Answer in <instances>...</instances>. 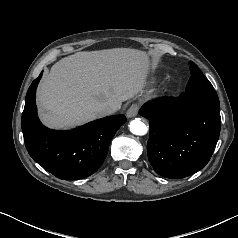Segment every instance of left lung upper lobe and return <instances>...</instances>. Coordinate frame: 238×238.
<instances>
[{"label": "left lung upper lobe", "instance_id": "1", "mask_svg": "<svg viewBox=\"0 0 238 238\" xmlns=\"http://www.w3.org/2000/svg\"><path fill=\"white\" fill-rule=\"evenodd\" d=\"M191 77L186 87V91L180 96L183 101H188L197 98L218 99L210 81L200 71L194 62H190Z\"/></svg>", "mask_w": 238, "mask_h": 238}]
</instances>
